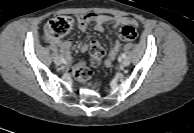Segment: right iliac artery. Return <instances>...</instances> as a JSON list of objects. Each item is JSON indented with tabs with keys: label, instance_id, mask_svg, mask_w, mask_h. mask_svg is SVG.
<instances>
[{
	"label": "right iliac artery",
	"instance_id": "obj_1",
	"mask_svg": "<svg viewBox=\"0 0 194 133\" xmlns=\"http://www.w3.org/2000/svg\"><path fill=\"white\" fill-rule=\"evenodd\" d=\"M60 59L65 63V60L61 55H60Z\"/></svg>",
	"mask_w": 194,
	"mask_h": 133
}]
</instances>
